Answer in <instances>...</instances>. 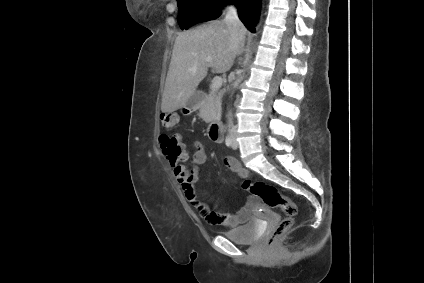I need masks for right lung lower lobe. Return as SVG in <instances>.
Returning <instances> with one entry per match:
<instances>
[{"instance_id":"1","label":"right lung lower lobe","mask_w":424,"mask_h":283,"mask_svg":"<svg viewBox=\"0 0 424 283\" xmlns=\"http://www.w3.org/2000/svg\"><path fill=\"white\" fill-rule=\"evenodd\" d=\"M261 0H233L238 9L240 20L246 28L252 33L255 32V26L259 19Z\"/></svg>"}]
</instances>
